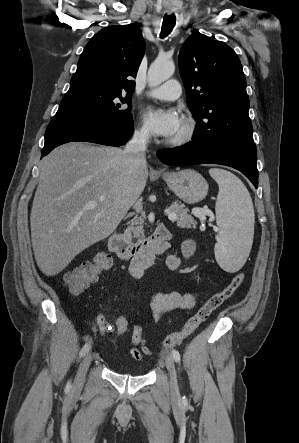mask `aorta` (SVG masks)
I'll return each mask as SVG.
<instances>
[{
    "instance_id": "aorta-1",
    "label": "aorta",
    "mask_w": 299,
    "mask_h": 443,
    "mask_svg": "<svg viewBox=\"0 0 299 443\" xmlns=\"http://www.w3.org/2000/svg\"><path fill=\"white\" fill-rule=\"evenodd\" d=\"M175 72L173 61L163 57L157 59L150 65L148 70V84L150 87H156L169 79Z\"/></svg>"
}]
</instances>
